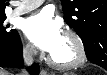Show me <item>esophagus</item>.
<instances>
[{
  "instance_id": "1",
  "label": "esophagus",
  "mask_w": 107,
  "mask_h": 75,
  "mask_svg": "<svg viewBox=\"0 0 107 75\" xmlns=\"http://www.w3.org/2000/svg\"><path fill=\"white\" fill-rule=\"evenodd\" d=\"M40 75H48L47 71L42 69L41 72H40Z\"/></svg>"
}]
</instances>
